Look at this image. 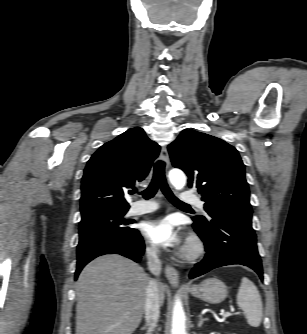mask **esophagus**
<instances>
[{
	"instance_id": "1",
	"label": "esophagus",
	"mask_w": 307,
	"mask_h": 334,
	"mask_svg": "<svg viewBox=\"0 0 307 334\" xmlns=\"http://www.w3.org/2000/svg\"><path fill=\"white\" fill-rule=\"evenodd\" d=\"M161 159L165 162L166 169H168L170 161H169V154H168V150H167L166 146H163L162 149H161ZM165 274H166V277H167L168 281L172 285H176L178 283V272L173 266L166 265L165 266Z\"/></svg>"
}]
</instances>
